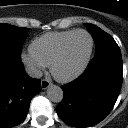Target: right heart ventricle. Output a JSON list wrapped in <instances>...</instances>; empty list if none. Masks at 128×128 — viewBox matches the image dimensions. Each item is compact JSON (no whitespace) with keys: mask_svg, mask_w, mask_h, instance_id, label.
Returning <instances> with one entry per match:
<instances>
[{"mask_svg":"<svg viewBox=\"0 0 128 128\" xmlns=\"http://www.w3.org/2000/svg\"><path fill=\"white\" fill-rule=\"evenodd\" d=\"M54 31L35 38L30 44V52L45 66H50L62 42L73 32Z\"/></svg>","mask_w":128,"mask_h":128,"instance_id":"right-heart-ventricle-1","label":"right heart ventricle"}]
</instances>
